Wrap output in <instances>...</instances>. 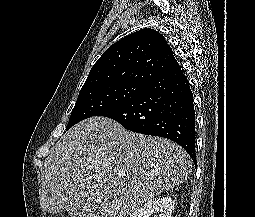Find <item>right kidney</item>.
Segmentation results:
<instances>
[{
	"label": "right kidney",
	"mask_w": 255,
	"mask_h": 217,
	"mask_svg": "<svg viewBox=\"0 0 255 217\" xmlns=\"http://www.w3.org/2000/svg\"><path fill=\"white\" fill-rule=\"evenodd\" d=\"M175 201L170 196L155 198L147 201L142 207L135 210L130 217H150L158 213V217H171Z\"/></svg>",
	"instance_id": "ca27d5eb"
}]
</instances>
